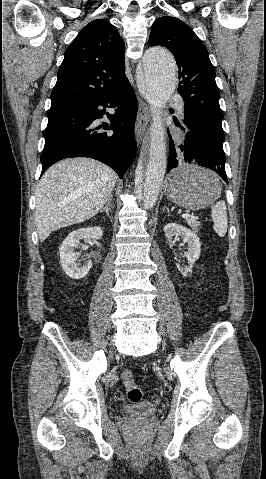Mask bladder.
<instances>
[{
  "label": "bladder",
  "mask_w": 266,
  "mask_h": 479,
  "mask_svg": "<svg viewBox=\"0 0 266 479\" xmlns=\"http://www.w3.org/2000/svg\"><path fill=\"white\" fill-rule=\"evenodd\" d=\"M122 413L134 417H150L157 413V406L148 401L130 402L122 406Z\"/></svg>",
  "instance_id": "bladder-1"
}]
</instances>
